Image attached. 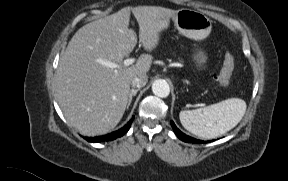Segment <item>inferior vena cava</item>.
Returning <instances> with one entry per match:
<instances>
[{
	"instance_id": "inferior-vena-cava-1",
	"label": "inferior vena cava",
	"mask_w": 288,
	"mask_h": 181,
	"mask_svg": "<svg viewBox=\"0 0 288 181\" xmlns=\"http://www.w3.org/2000/svg\"><path fill=\"white\" fill-rule=\"evenodd\" d=\"M148 82V76L146 74H140L133 78L131 85L133 87L141 88Z\"/></svg>"
}]
</instances>
